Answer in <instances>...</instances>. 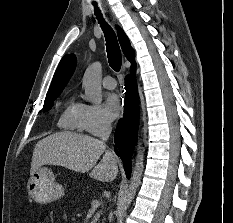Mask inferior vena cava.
<instances>
[{
	"mask_svg": "<svg viewBox=\"0 0 233 223\" xmlns=\"http://www.w3.org/2000/svg\"><path fill=\"white\" fill-rule=\"evenodd\" d=\"M111 131L112 125L110 119H107V117H102L98 133L101 143H105V141H107Z\"/></svg>",
	"mask_w": 233,
	"mask_h": 223,
	"instance_id": "obj_1",
	"label": "inferior vena cava"
}]
</instances>
